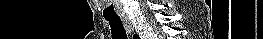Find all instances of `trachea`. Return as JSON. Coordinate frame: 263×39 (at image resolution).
I'll use <instances>...</instances> for the list:
<instances>
[{
    "instance_id": "trachea-1",
    "label": "trachea",
    "mask_w": 263,
    "mask_h": 39,
    "mask_svg": "<svg viewBox=\"0 0 263 39\" xmlns=\"http://www.w3.org/2000/svg\"><path fill=\"white\" fill-rule=\"evenodd\" d=\"M111 27L113 39H128L123 23L120 18H105Z\"/></svg>"
}]
</instances>
